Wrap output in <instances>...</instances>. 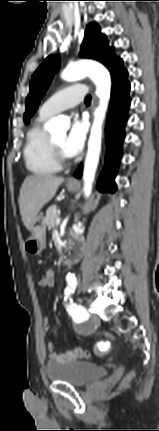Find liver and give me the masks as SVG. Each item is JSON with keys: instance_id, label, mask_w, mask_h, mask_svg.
Masks as SVG:
<instances>
[{"instance_id": "6515ba94", "label": "liver", "mask_w": 159, "mask_h": 431, "mask_svg": "<svg viewBox=\"0 0 159 431\" xmlns=\"http://www.w3.org/2000/svg\"><path fill=\"white\" fill-rule=\"evenodd\" d=\"M64 178L54 175H31L25 178L19 196L22 221L30 231L39 211L56 194Z\"/></svg>"}]
</instances>
